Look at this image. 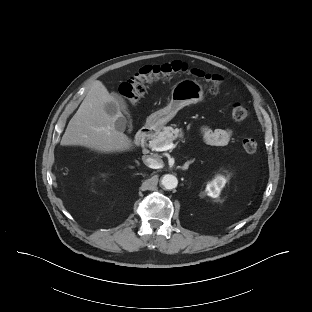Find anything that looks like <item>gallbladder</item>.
<instances>
[{"label": "gallbladder", "instance_id": "1", "mask_svg": "<svg viewBox=\"0 0 312 312\" xmlns=\"http://www.w3.org/2000/svg\"><path fill=\"white\" fill-rule=\"evenodd\" d=\"M115 98V102H110L107 103L105 105V110L106 112L110 115V116H116L118 114V112H123L125 115H127L128 119H129V124H130V128H131V119H130V114H129V110L127 107V104L124 100V98L119 95V94H115L114 95ZM126 118L125 117H118L117 121H116V128L120 131H124L125 127H126Z\"/></svg>", "mask_w": 312, "mask_h": 312}]
</instances>
